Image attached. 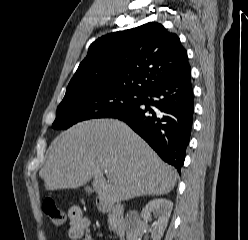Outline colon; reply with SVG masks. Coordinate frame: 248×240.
Returning a JSON list of instances; mask_svg holds the SVG:
<instances>
[{
  "label": "colon",
  "mask_w": 248,
  "mask_h": 240,
  "mask_svg": "<svg viewBox=\"0 0 248 240\" xmlns=\"http://www.w3.org/2000/svg\"><path fill=\"white\" fill-rule=\"evenodd\" d=\"M43 211L51 219L55 226L61 227L65 225L66 216L53 200L47 199L44 201Z\"/></svg>",
  "instance_id": "1"
}]
</instances>
